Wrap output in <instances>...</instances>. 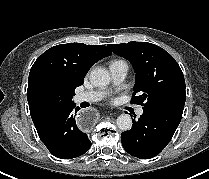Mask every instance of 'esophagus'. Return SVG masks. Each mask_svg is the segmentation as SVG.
<instances>
[{
  "label": "esophagus",
  "instance_id": "34e87169",
  "mask_svg": "<svg viewBox=\"0 0 209 179\" xmlns=\"http://www.w3.org/2000/svg\"><path fill=\"white\" fill-rule=\"evenodd\" d=\"M98 119V113L94 109L79 110L74 117L77 127L84 132L90 131Z\"/></svg>",
  "mask_w": 209,
  "mask_h": 179
}]
</instances>
